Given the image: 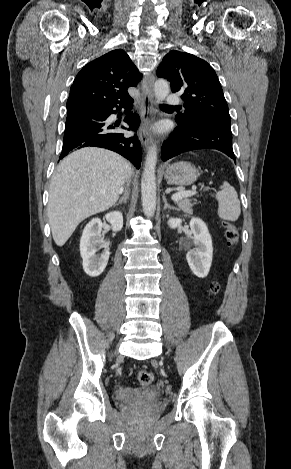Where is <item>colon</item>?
Returning <instances> with one entry per match:
<instances>
[{
    "instance_id": "obj_1",
    "label": "colon",
    "mask_w": 291,
    "mask_h": 469,
    "mask_svg": "<svg viewBox=\"0 0 291 469\" xmlns=\"http://www.w3.org/2000/svg\"><path fill=\"white\" fill-rule=\"evenodd\" d=\"M223 227L225 228V237L226 242L229 247H233L238 242V231L234 224L229 221H223ZM219 291V285L217 283H213L210 287L211 294H216ZM137 382L142 386L150 385L153 380L154 376L150 371L147 370H140L136 376Z\"/></svg>"
}]
</instances>
